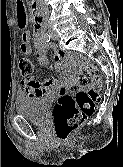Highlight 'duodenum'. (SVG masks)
<instances>
[{
  "mask_svg": "<svg viewBox=\"0 0 123 167\" xmlns=\"http://www.w3.org/2000/svg\"><path fill=\"white\" fill-rule=\"evenodd\" d=\"M31 7H32L33 13L36 16V22L41 25V29L43 31L44 17H43V13H42L39 1L38 0H32L31 1Z\"/></svg>",
  "mask_w": 123,
  "mask_h": 167,
  "instance_id": "duodenum-1",
  "label": "duodenum"
}]
</instances>
